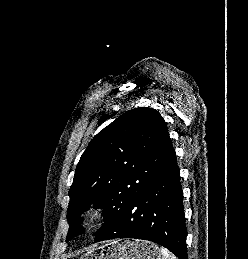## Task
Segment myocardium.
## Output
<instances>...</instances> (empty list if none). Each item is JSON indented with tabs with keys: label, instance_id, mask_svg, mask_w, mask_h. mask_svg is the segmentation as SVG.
Here are the masks:
<instances>
[{
	"label": "myocardium",
	"instance_id": "myocardium-1",
	"mask_svg": "<svg viewBox=\"0 0 248 259\" xmlns=\"http://www.w3.org/2000/svg\"><path fill=\"white\" fill-rule=\"evenodd\" d=\"M105 210L102 207H92L82 216V223L86 227H93L103 220Z\"/></svg>",
	"mask_w": 248,
	"mask_h": 259
}]
</instances>
